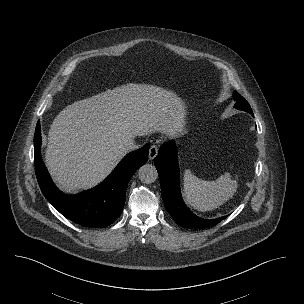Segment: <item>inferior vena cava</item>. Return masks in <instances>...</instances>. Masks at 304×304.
Returning a JSON list of instances; mask_svg holds the SVG:
<instances>
[{"mask_svg":"<svg viewBox=\"0 0 304 304\" xmlns=\"http://www.w3.org/2000/svg\"><path fill=\"white\" fill-rule=\"evenodd\" d=\"M138 147L139 145L134 141L133 138H130L125 142V148L127 151L136 150Z\"/></svg>","mask_w":304,"mask_h":304,"instance_id":"602c4592","label":"inferior vena cava"}]
</instances>
